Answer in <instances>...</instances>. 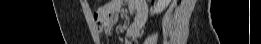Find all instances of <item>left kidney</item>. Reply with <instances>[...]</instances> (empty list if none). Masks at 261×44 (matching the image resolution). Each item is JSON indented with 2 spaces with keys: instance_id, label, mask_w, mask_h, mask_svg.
<instances>
[{
  "instance_id": "left-kidney-1",
  "label": "left kidney",
  "mask_w": 261,
  "mask_h": 44,
  "mask_svg": "<svg viewBox=\"0 0 261 44\" xmlns=\"http://www.w3.org/2000/svg\"><path fill=\"white\" fill-rule=\"evenodd\" d=\"M170 2L171 0H157L156 5L150 11L151 15L161 13L169 5Z\"/></svg>"
}]
</instances>
